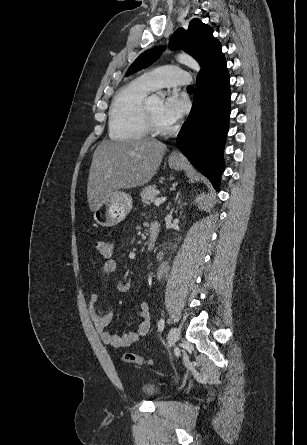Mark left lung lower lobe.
I'll return each instance as SVG.
<instances>
[{
	"label": "left lung lower lobe",
	"mask_w": 307,
	"mask_h": 445,
	"mask_svg": "<svg viewBox=\"0 0 307 445\" xmlns=\"http://www.w3.org/2000/svg\"><path fill=\"white\" fill-rule=\"evenodd\" d=\"M230 99L229 74L223 56L198 76L192 110L177 137L180 151L210 179L216 190L224 170Z\"/></svg>",
	"instance_id": "1"
}]
</instances>
